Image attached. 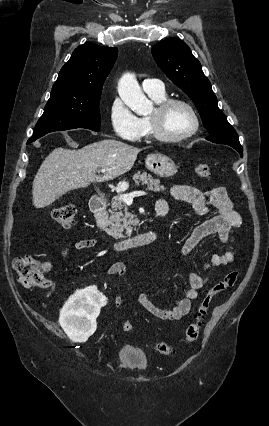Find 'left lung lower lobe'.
Here are the masks:
<instances>
[{
	"mask_svg": "<svg viewBox=\"0 0 269 426\" xmlns=\"http://www.w3.org/2000/svg\"><path fill=\"white\" fill-rule=\"evenodd\" d=\"M229 145V144H227ZM231 147H233L235 150H237L240 154L241 157H243V148L241 145H229Z\"/></svg>",
	"mask_w": 269,
	"mask_h": 426,
	"instance_id": "obj_1",
	"label": "left lung lower lobe"
}]
</instances>
